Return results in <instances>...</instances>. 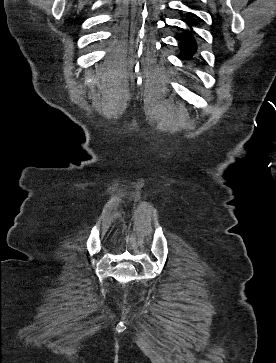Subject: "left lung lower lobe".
<instances>
[{
	"mask_svg": "<svg viewBox=\"0 0 276 363\" xmlns=\"http://www.w3.org/2000/svg\"><path fill=\"white\" fill-rule=\"evenodd\" d=\"M190 16L196 17V15L189 13ZM185 23L188 24V26L190 27L189 29H185L183 31V35L181 37V41L179 43L181 52L184 56L185 59H190L197 50L196 47V40L194 39V37L196 36L195 31L193 30V28L191 27V20L188 21H184Z\"/></svg>",
	"mask_w": 276,
	"mask_h": 363,
	"instance_id": "0a47b994",
	"label": "left lung lower lobe"
}]
</instances>
